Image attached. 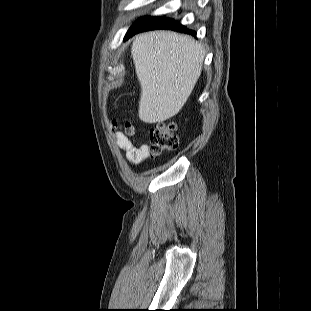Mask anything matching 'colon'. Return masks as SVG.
Returning a JSON list of instances; mask_svg holds the SVG:
<instances>
[{"instance_id": "1", "label": "colon", "mask_w": 311, "mask_h": 311, "mask_svg": "<svg viewBox=\"0 0 311 311\" xmlns=\"http://www.w3.org/2000/svg\"><path fill=\"white\" fill-rule=\"evenodd\" d=\"M118 125H115L117 127ZM124 130L127 134L134 133V127L125 124ZM176 126L174 123L158 124L150 130V150L153 155H159L166 151H173L179 145L178 137L175 135Z\"/></svg>"}]
</instances>
